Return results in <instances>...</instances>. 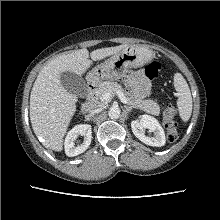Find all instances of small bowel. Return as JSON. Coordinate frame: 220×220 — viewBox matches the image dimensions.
Returning <instances> with one entry per match:
<instances>
[{"label":"small bowel","mask_w":220,"mask_h":220,"mask_svg":"<svg viewBox=\"0 0 220 220\" xmlns=\"http://www.w3.org/2000/svg\"><path fill=\"white\" fill-rule=\"evenodd\" d=\"M125 83L134 93L141 97H146L150 93V82L148 78L141 72L136 71L125 78Z\"/></svg>","instance_id":"1"}]
</instances>
